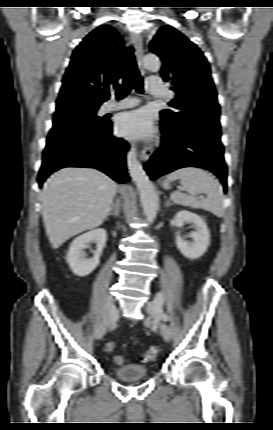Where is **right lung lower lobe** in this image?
I'll return each mask as SVG.
<instances>
[{
    "label": "right lung lower lobe",
    "instance_id": "right-lung-lower-lobe-1",
    "mask_svg": "<svg viewBox=\"0 0 273 430\" xmlns=\"http://www.w3.org/2000/svg\"><path fill=\"white\" fill-rule=\"evenodd\" d=\"M111 132L112 123L109 122L93 135L47 145L39 171V185L42 186L51 173L64 167H92L117 182L129 181L125 162L128 143L121 138H114Z\"/></svg>",
    "mask_w": 273,
    "mask_h": 430
}]
</instances>
